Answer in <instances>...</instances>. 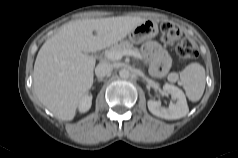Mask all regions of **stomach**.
Listing matches in <instances>:
<instances>
[{
    "label": "stomach",
    "instance_id": "0dacf381",
    "mask_svg": "<svg viewBox=\"0 0 238 158\" xmlns=\"http://www.w3.org/2000/svg\"><path fill=\"white\" fill-rule=\"evenodd\" d=\"M157 34V23L154 20L146 19L130 31L128 38L131 43L139 44L147 39L155 37Z\"/></svg>",
    "mask_w": 238,
    "mask_h": 158
}]
</instances>
